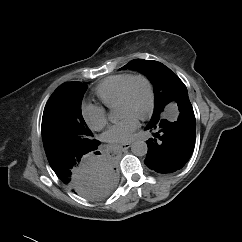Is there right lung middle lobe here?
I'll use <instances>...</instances> for the list:
<instances>
[{"mask_svg":"<svg viewBox=\"0 0 242 242\" xmlns=\"http://www.w3.org/2000/svg\"><path fill=\"white\" fill-rule=\"evenodd\" d=\"M87 85H74L55 90L49 98L42 118V138L48 161L94 150L99 141L92 140V132L87 127L81 113V101Z\"/></svg>","mask_w":242,"mask_h":242,"instance_id":"right-lung-middle-lobe-1","label":"right lung middle lobe"}]
</instances>
